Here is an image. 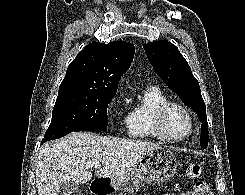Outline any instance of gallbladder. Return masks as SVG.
Wrapping results in <instances>:
<instances>
[{
	"instance_id": "1",
	"label": "gallbladder",
	"mask_w": 245,
	"mask_h": 195,
	"mask_svg": "<svg viewBox=\"0 0 245 195\" xmlns=\"http://www.w3.org/2000/svg\"><path fill=\"white\" fill-rule=\"evenodd\" d=\"M78 185L72 182L63 183L60 186V192L62 195H71L74 192H77Z\"/></svg>"
}]
</instances>
